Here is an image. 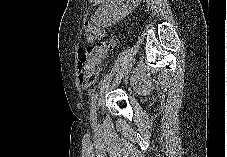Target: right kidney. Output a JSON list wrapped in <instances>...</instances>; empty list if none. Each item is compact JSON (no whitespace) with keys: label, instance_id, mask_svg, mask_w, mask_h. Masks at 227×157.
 <instances>
[{"label":"right kidney","instance_id":"ca27d5eb","mask_svg":"<svg viewBox=\"0 0 227 157\" xmlns=\"http://www.w3.org/2000/svg\"><path fill=\"white\" fill-rule=\"evenodd\" d=\"M115 2H117V4H115ZM121 2L122 1H107L100 6L96 12L97 21L100 24L111 25L124 18L128 14V9L126 6H120Z\"/></svg>","mask_w":227,"mask_h":157}]
</instances>
